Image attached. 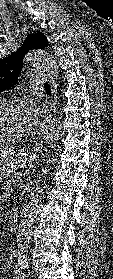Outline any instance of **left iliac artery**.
Masks as SVG:
<instances>
[{
    "mask_svg": "<svg viewBox=\"0 0 113 279\" xmlns=\"http://www.w3.org/2000/svg\"><path fill=\"white\" fill-rule=\"evenodd\" d=\"M16 279H24V273H22L21 271L16 272Z\"/></svg>",
    "mask_w": 113,
    "mask_h": 279,
    "instance_id": "obj_1",
    "label": "left iliac artery"
}]
</instances>
